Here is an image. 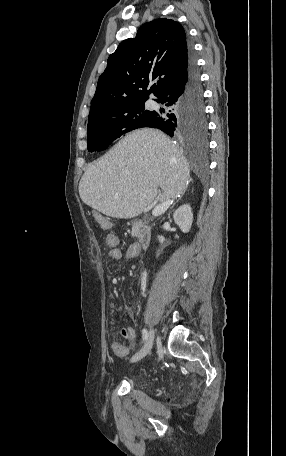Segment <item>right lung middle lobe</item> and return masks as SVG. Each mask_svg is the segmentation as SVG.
Segmentation results:
<instances>
[{"instance_id":"1","label":"right lung middle lobe","mask_w":286,"mask_h":456,"mask_svg":"<svg viewBox=\"0 0 286 456\" xmlns=\"http://www.w3.org/2000/svg\"><path fill=\"white\" fill-rule=\"evenodd\" d=\"M145 101L112 106L88 120V151L106 149L114 140L137 128L146 127L155 111L145 108ZM204 126L194 124L191 132L202 133Z\"/></svg>"}]
</instances>
